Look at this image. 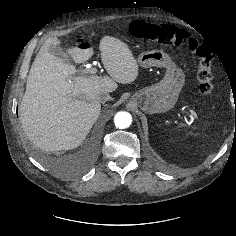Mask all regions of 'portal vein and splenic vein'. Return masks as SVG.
<instances>
[{
  "label": "portal vein and splenic vein",
  "instance_id": "portal-vein-and-splenic-vein-1",
  "mask_svg": "<svg viewBox=\"0 0 236 236\" xmlns=\"http://www.w3.org/2000/svg\"><path fill=\"white\" fill-rule=\"evenodd\" d=\"M87 72H90V73H92V74H95L96 72H97V69L96 68H91V69H89V70H83L82 71V74H86ZM190 111V113H191V115L194 117V118H198V116H197V114H196V112L195 111H193V110H189Z\"/></svg>",
  "mask_w": 236,
  "mask_h": 236
}]
</instances>
